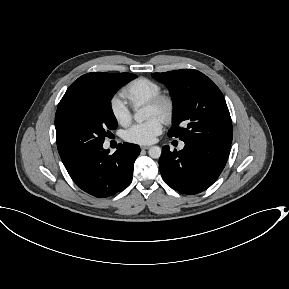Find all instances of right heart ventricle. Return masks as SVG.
I'll use <instances>...</instances> for the list:
<instances>
[{"mask_svg":"<svg viewBox=\"0 0 289 289\" xmlns=\"http://www.w3.org/2000/svg\"><path fill=\"white\" fill-rule=\"evenodd\" d=\"M161 93V86L148 78H138L127 84L121 94L134 107L138 108Z\"/></svg>","mask_w":289,"mask_h":289,"instance_id":"obj_1","label":"right heart ventricle"}]
</instances>
